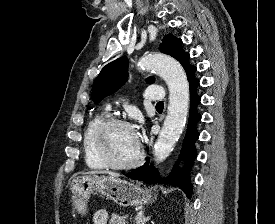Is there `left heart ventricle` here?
<instances>
[{
    "label": "left heart ventricle",
    "mask_w": 275,
    "mask_h": 224,
    "mask_svg": "<svg viewBox=\"0 0 275 224\" xmlns=\"http://www.w3.org/2000/svg\"><path fill=\"white\" fill-rule=\"evenodd\" d=\"M107 144L111 156L119 163L133 160L139 149V140L133 128L121 125L113 127L108 132Z\"/></svg>",
    "instance_id": "b2bd125f"
}]
</instances>
